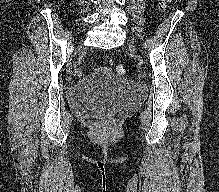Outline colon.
I'll use <instances>...</instances> for the list:
<instances>
[{"mask_svg":"<svg viewBox=\"0 0 219 192\" xmlns=\"http://www.w3.org/2000/svg\"><path fill=\"white\" fill-rule=\"evenodd\" d=\"M172 0H162L161 6L166 7ZM115 72L119 76H124L126 74V67L124 64H118L115 68Z\"/></svg>","mask_w":219,"mask_h":192,"instance_id":"obj_1","label":"colon"}]
</instances>
